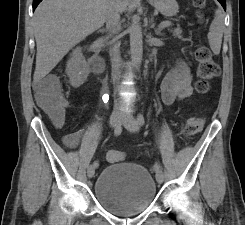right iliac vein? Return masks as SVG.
<instances>
[{"label": "right iliac vein", "mask_w": 245, "mask_h": 225, "mask_svg": "<svg viewBox=\"0 0 245 225\" xmlns=\"http://www.w3.org/2000/svg\"><path fill=\"white\" fill-rule=\"evenodd\" d=\"M122 120V115L119 111H115L112 113L110 116V126L111 127H116ZM95 174V167L93 165H90L87 169V175L89 178H92Z\"/></svg>", "instance_id": "1"}]
</instances>
